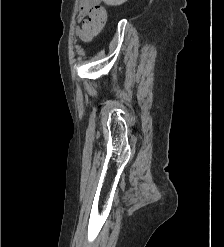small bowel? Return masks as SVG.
<instances>
[{
    "mask_svg": "<svg viewBox=\"0 0 224 247\" xmlns=\"http://www.w3.org/2000/svg\"><path fill=\"white\" fill-rule=\"evenodd\" d=\"M101 0H80L79 2V13H78V17L79 19H82L83 17L87 16L90 14V9L93 6L98 5V3Z\"/></svg>",
    "mask_w": 224,
    "mask_h": 247,
    "instance_id": "small-bowel-1",
    "label": "small bowel"
}]
</instances>
